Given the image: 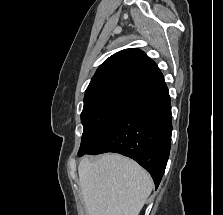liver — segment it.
Listing matches in <instances>:
<instances>
[{"label": "liver", "mask_w": 223, "mask_h": 215, "mask_svg": "<svg viewBox=\"0 0 223 215\" xmlns=\"http://www.w3.org/2000/svg\"><path fill=\"white\" fill-rule=\"evenodd\" d=\"M78 173L89 215H138L154 187L146 169L119 153L86 155Z\"/></svg>", "instance_id": "1"}]
</instances>
